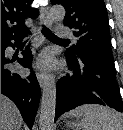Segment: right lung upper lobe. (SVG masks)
<instances>
[{
    "mask_svg": "<svg viewBox=\"0 0 123 130\" xmlns=\"http://www.w3.org/2000/svg\"><path fill=\"white\" fill-rule=\"evenodd\" d=\"M31 3L32 0H1V43L27 33L24 20L38 16V9L31 8Z\"/></svg>",
    "mask_w": 123,
    "mask_h": 130,
    "instance_id": "1",
    "label": "right lung upper lobe"
}]
</instances>
